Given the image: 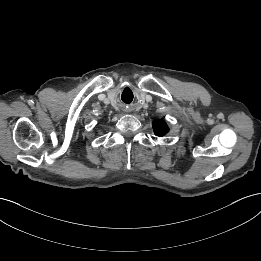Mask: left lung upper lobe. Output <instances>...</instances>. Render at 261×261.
<instances>
[{
	"label": "left lung upper lobe",
	"instance_id": "obj_1",
	"mask_svg": "<svg viewBox=\"0 0 261 261\" xmlns=\"http://www.w3.org/2000/svg\"><path fill=\"white\" fill-rule=\"evenodd\" d=\"M153 130L157 136H164L168 132V127L163 120L153 122Z\"/></svg>",
	"mask_w": 261,
	"mask_h": 261
}]
</instances>
